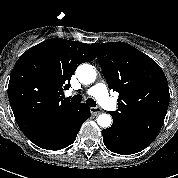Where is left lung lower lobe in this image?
<instances>
[{"label": "left lung lower lobe", "instance_id": "1", "mask_svg": "<svg viewBox=\"0 0 178 178\" xmlns=\"http://www.w3.org/2000/svg\"><path fill=\"white\" fill-rule=\"evenodd\" d=\"M102 135L105 146L122 155L138 153L154 141L116 122L110 128L104 129Z\"/></svg>", "mask_w": 178, "mask_h": 178}]
</instances>
